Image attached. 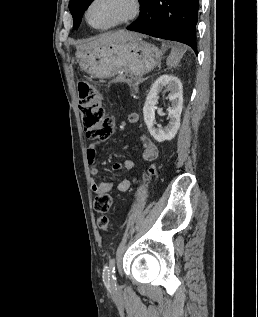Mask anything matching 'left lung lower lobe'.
<instances>
[{
	"instance_id": "obj_1",
	"label": "left lung lower lobe",
	"mask_w": 258,
	"mask_h": 317,
	"mask_svg": "<svg viewBox=\"0 0 258 317\" xmlns=\"http://www.w3.org/2000/svg\"><path fill=\"white\" fill-rule=\"evenodd\" d=\"M140 10L128 30L187 44L197 54L199 0H144Z\"/></svg>"
}]
</instances>
